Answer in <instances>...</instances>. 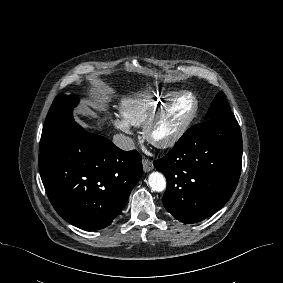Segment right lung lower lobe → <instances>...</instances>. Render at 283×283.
I'll return each instance as SVG.
<instances>
[{"instance_id": "1", "label": "right lung lower lobe", "mask_w": 283, "mask_h": 283, "mask_svg": "<svg viewBox=\"0 0 283 283\" xmlns=\"http://www.w3.org/2000/svg\"><path fill=\"white\" fill-rule=\"evenodd\" d=\"M142 157L73 124L39 154V170L57 213L84 230H99L121 213L140 179Z\"/></svg>"}]
</instances>
